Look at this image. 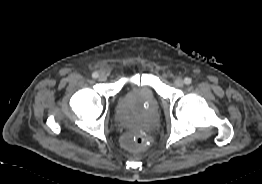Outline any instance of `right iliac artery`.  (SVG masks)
<instances>
[{
    "instance_id": "1",
    "label": "right iliac artery",
    "mask_w": 262,
    "mask_h": 184,
    "mask_svg": "<svg viewBox=\"0 0 262 184\" xmlns=\"http://www.w3.org/2000/svg\"><path fill=\"white\" fill-rule=\"evenodd\" d=\"M98 76H99V74H98L97 72H93V73H92V77H93V78H97Z\"/></svg>"
}]
</instances>
